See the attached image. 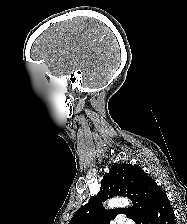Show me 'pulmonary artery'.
<instances>
[{
  "instance_id": "pulmonary-artery-1",
  "label": "pulmonary artery",
  "mask_w": 187,
  "mask_h": 224,
  "mask_svg": "<svg viewBox=\"0 0 187 224\" xmlns=\"http://www.w3.org/2000/svg\"><path fill=\"white\" fill-rule=\"evenodd\" d=\"M118 224H135L133 220L120 217L117 221Z\"/></svg>"
}]
</instances>
